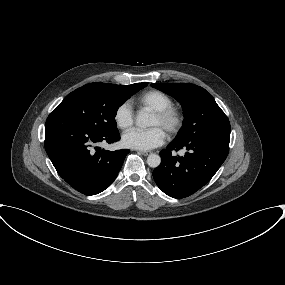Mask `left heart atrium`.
Returning <instances> with one entry per match:
<instances>
[{
	"label": "left heart atrium",
	"mask_w": 285,
	"mask_h": 285,
	"mask_svg": "<svg viewBox=\"0 0 285 285\" xmlns=\"http://www.w3.org/2000/svg\"><path fill=\"white\" fill-rule=\"evenodd\" d=\"M164 141L165 132L158 126L148 129H131L122 136V142L126 147L144 151L156 148Z\"/></svg>",
	"instance_id": "1"
}]
</instances>
